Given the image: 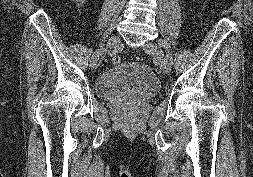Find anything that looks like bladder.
Wrapping results in <instances>:
<instances>
[{
	"mask_svg": "<svg viewBox=\"0 0 253 177\" xmlns=\"http://www.w3.org/2000/svg\"><path fill=\"white\" fill-rule=\"evenodd\" d=\"M160 82L144 64L121 62L107 68L96 79L95 92L101 98L117 96L147 99L160 90Z\"/></svg>",
	"mask_w": 253,
	"mask_h": 177,
	"instance_id": "bladder-1",
	"label": "bladder"
}]
</instances>
